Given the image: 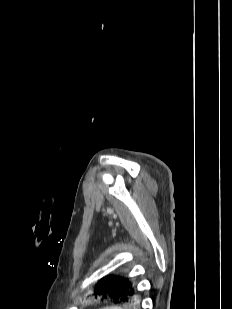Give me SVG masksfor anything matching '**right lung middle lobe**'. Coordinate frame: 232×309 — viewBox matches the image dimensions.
<instances>
[{
  "label": "right lung middle lobe",
  "mask_w": 232,
  "mask_h": 309,
  "mask_svg": "<svg viewBox=\"0 0 232 309\" xmlns=\"http://www.w3.org/2000/svg\"><path fill=\"white\" fill-rule=\"evenodd\" d=\"M118 278H122V277H115V276H113V275H109V276L103 278V279L98 283V285L96 286V288L104 287V286H110V285H112Z\"/></svg>",
  "instance_id": "1"
}]
</instances>
